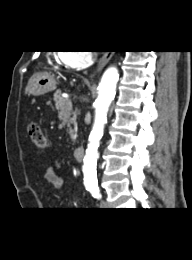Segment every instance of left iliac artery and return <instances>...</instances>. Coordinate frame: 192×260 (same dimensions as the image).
<instances>
[{"mask_svg": "<svg viewBox=\"0 0 192 260\" xmlns=\"http://www.w3.org/2000/svg\"><path fill=\"white\" fill-rule=\"evenodd\" d=\"M89 190L94 198H97V199L101 198V194H100L98 186H95V185L91 186Z\"/></svg>", "mask_w": 192, "mask_h": 260, "instance_id": "1", "label": "left iliac artery"}]
</instances>
